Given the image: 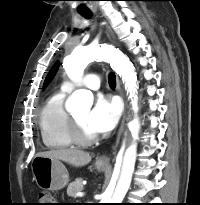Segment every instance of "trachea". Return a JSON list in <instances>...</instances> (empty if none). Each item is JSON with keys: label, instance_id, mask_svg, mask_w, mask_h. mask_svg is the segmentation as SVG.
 I'll return each mask as SVG.
<instances>
[{"label": "trachea", "instance_id": "1", "mask_svg": "<svg viewBox=\"0 0 200 205\" xmlns=\"http://www.w3.org/2000/svg\"><path fill=\"white\" fill-rule=\"evenodd\" d=\"M82 16H84L85 18H91V14L90 13H85V14H82ZM108 82H109V85L111 87H115L116 86V76L114 73H111L108 77Z\"/></svg>", "mask_w": 200, "mask_h": 205}]
</instances>
